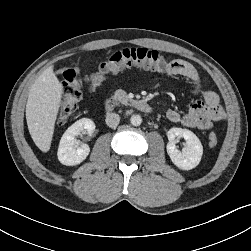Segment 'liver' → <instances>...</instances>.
Segmentation results:
<instances>
[{
	"instance_id": "1",
	"label": "liver",
	"mask_w": 251,
	"mask_h": 251,
	"mask_svg": "<svg viewBox=\"0 0 251 251\" xmlns=\"http://www.w3.org/2000/svg\"><path fill=\"white\" fill-rule=\"evenodd\" d=\"M62 92V85L53 71V66L44 70L30 88L26 121L35 145L42 152H48L50 149Z\"/></svg>"
}]
</instances>
